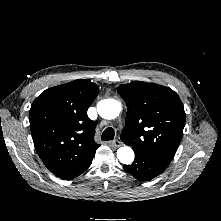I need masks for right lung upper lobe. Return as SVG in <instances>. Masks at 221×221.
Masks as SVG:
<instances>
[{"mask_svg":"<svg viewBox=\"0 0 221 221\" xmlns=\"http://www.w3.org/2000/svg\"><path fill=\"white\" fill-rule=\"evenodd\" d=\"M99 87L75 80L42 92L30 109V129L35 149L44 165L57 177L73 179L92 163L96 149L95 122L87 110Z\"/></svg>","mask_w":221,"mask_h":221,"instance_id":"right-lung-upper-lobe-1","label":"right lung upper lobe"}]
</instances>
